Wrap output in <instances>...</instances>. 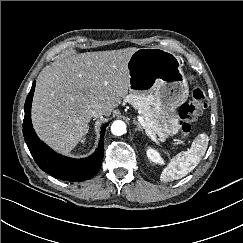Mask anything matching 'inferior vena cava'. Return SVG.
Here are the masks:
<instances>
[{"label":"inferior vena cava","instance_id":"1","mask_svg":"<svg viewBox=\"0 0 243 243\" xmlns=\"http://www.w3.org/2000/svg\"><path fill=\"white\" fill-rule=\"evenodd\" d=\"M90 113L94 117H100L104 115V107L100 103H94L92 104L90 108Z\"/></svg>","mask_w":243,"mask_h":243}]
</instances>
